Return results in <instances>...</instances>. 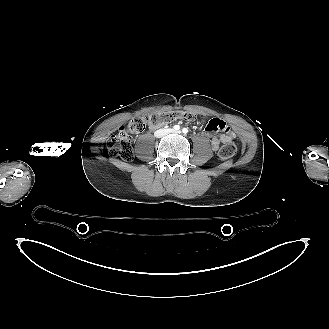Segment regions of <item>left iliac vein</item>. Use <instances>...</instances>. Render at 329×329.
Returning <instances> with one entry per match:
<instances>
[{
	"mask_svg": "<svg viewBox=\"0 0 329 329\" xmlns=\"http://www.w3.org/2000/svg\"><path fill=\"white\" fill-rule=\"evenodd\" d=\"M171 132H174V133H177V134H180L181 133L180 131H171Z\"/></svg>",
	"mask_w": 329,
	"mask_h": 329,
	"instance_id": "4c4485c4",
	"label": "left iliac vein"
}]
</instances>
